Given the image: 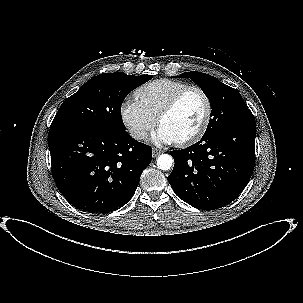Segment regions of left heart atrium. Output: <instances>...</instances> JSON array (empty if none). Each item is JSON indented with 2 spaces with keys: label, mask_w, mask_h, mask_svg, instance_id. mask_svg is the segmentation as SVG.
<instances>
[{
  "label": "left heart atrium",
  "mask_w": 303,
  "mask_h": 303,
  "mask_svg": "<svg viewBox=\"0 0 303 303\" xmlns=\"http://www.w3.org/2000/svg\"><path fill=\"white\" fill-rule=\"evenodd\" d=\"M151 139L156 144H172L177 141L168 130L161 126L153 132Z\"/></svg>",
  "instance_id": "1"
}]
</instances>
